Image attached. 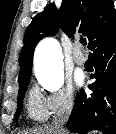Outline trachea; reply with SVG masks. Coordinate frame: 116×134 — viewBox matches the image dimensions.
I'll return each mask as SVG.
<instances>
[{
	"label": "trachea",
	"instance_id": "1",
	"mask_svg": "<svg viewBox=\"0 0 116 134\" xmlns=\"http://www.w3.org/2000/svg\"><path fill=\"white\" fill-rule=\"evenodd\" d=\"M80 42H81V44H82L83 46H85V45L87 44L86 39H80Z\"/></svg>",
	"mask_w": 116,
	"mask_h": 134
}]
</instances>
